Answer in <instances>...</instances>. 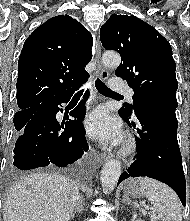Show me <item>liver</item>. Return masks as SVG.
Listing matches in <instances>:
<instances>
[{
  "mask_svg": "<svg viewBox=\"0 0 190 221\" xmlns=\"http://www.w3.org/2000/svg\"><path fill=\"white\" fill-rule=\"evenodd\" d=\"M79 199L72 179L55 173L31 174L10 190L3 221H69Z\"/></svg>",
  "mask_w": 190,
  "mask_h": 221,
  "instance_id": "6515ba94",
  "label": "liver"
}]
</instances>
